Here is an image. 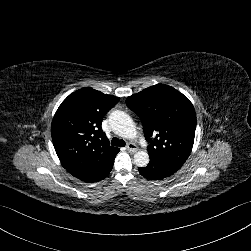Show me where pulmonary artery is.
<instances>
[{"mask_svg":"<svg viewBox=\"0 0 251 251\" xmlns=\"http://www.w3.org/2000/svg\"><path fill=\"white\" fill-rule=\"evenodd\" d=\"M136 133H137V140L140 144L141 147L145 148L148 146V141L146 140V133H145V130L143 127H138L137 130H136Z\"/></svg>","mask_w":251,"mask_h":251,"instance_id":"pulmonary-artery-1","label":"pulmonary artery"}]
</instances>
